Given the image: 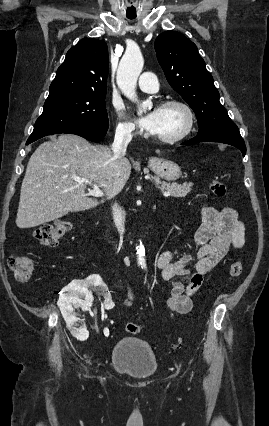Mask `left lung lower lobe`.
<instances>
[{"mask_svg":"<svg viewBox=\"0 0 269 426\" xmlns=\"http://www.w3.org/2000/svg\"><path fill=\"white\" fill-rule=\"evenodd\" d=\"M221 142L225 144H229L235 146L240 149L243 156L246 154V146L243 138L240 135L239 129L235 123L231 122L226 125H222L215 129H204L203 131H199L197 136L194 138L184 142L183 144H191L198 142Z\"/></svg>","mask_w":269,"mask_h":426,"instance_id":"1","label":"left lung lower lobe"}]
</instances>
